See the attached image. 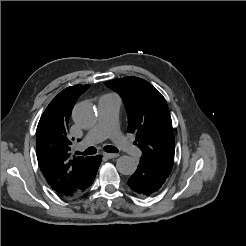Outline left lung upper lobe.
Segmentation results:
<instances>
[{
	"mask_svg": "<svg viewBox=\"0 0 246 246\" xmlns=\"http://www.w3.org/2000/svg\"><path fill=\"white\" fill-rule=\"evenodd\" d=\"M117 92L128 114V132L147 160L170 173L174 163L175 142L172 120L165 98L147 81L125 77L105 82Z\"/></svg>",
	"mask_w": 246,
	"mask_h": 246,
	"instance_id": "left-lung-upper-lobe-1",
	"label": "left lung upper lobe"
}]
</instances>
